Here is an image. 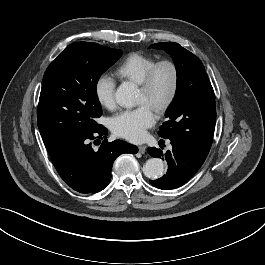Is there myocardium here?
<instances>
[{"instance_id": "myocardium-1", "label": "myocardium", "mask_w": 265, "mask_h": 265, "mask_svg": "<svg viewBox=\"0 0 265 265\" xmlns=\"http://www.w3.org/2000/svg\"><path fill=\"white\" fill-rule=\"evenodd\" d=\"M167 66L170 68L172 73V83L168 95L160 103L156 104L154 111L158 114H164L174 103L180 85V72L177 64L169 59H164L155 62L144 75L141 83L139 84L140 90L146 94L150 95L153 89L154 79L157 71L163 67Z\"/></svg>"}]
</instances>
